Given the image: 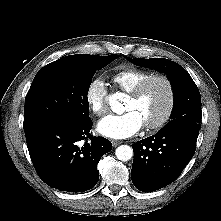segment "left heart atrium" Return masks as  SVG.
I'll return each mask as SVG.
<instances>
[{"instance_id":"obj_1","label":"left heart atrium","mask_w":221,"mask_h":221,"mask_svg":"<svg viewBox=\"0 0 221 221\" xmlns=\"http://www.w3.org/2000/svg\"><path fill=\"white\" fill-rule=\"evenodd\" d=\"M143 126L141 119L134 111L123 114H110L97 124V131L111 139H124L136 134Z\"/></svg>"}]
</instances>
